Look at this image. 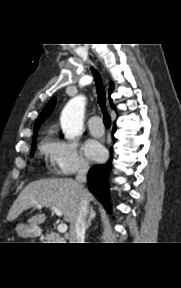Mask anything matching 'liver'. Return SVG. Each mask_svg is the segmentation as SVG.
<instances>
[{
  "instance_id": "1",
  "label": "liver",
  "mask_w": 181,
  "mask_h": 288,
  "mask_svg": "<svg viewBox=\"0 0 181 288\" xmlns=\"http://www.w3.org/2000/svg\"><path fill=\"white\" fill-rule=\"evenodd\" d=\"M88 202L94 197L86 191ZM80 202V188L77 181L73 179H41L29 183L19 194L10 208L7 220H15L24 210L36 207L41 203L44 207L55 206L62 211L63 219L71 224L78 214ZM46 215L39 213L30 219V226L38 229V225L45 222Z\"/></svg>"
}]
</instances>
